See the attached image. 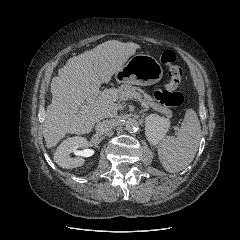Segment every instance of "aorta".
<instances>
[{"label":"aorta","instance_id":"1","mask_svg":"<svg viewBox=\"0 0 240 240\" xmlns=\"http://www.w3.org/2000/svg\"><path fill=\"white\" fill-rule=\"evenodd\" d=\"M125 127L128 132H136L139 127V122L136 118L130 117L125 121Z\"/></svg>","mask_w":240,"mask_h":240}]
</instances>
